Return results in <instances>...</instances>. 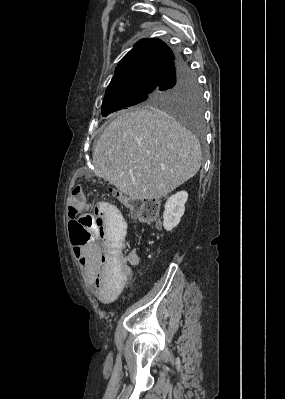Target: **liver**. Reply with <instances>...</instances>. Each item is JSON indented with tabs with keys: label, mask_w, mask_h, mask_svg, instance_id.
<instances>
[{
	"label": "liver",
	"mask_w": 285,
	"mask_h": 399,
	"mask_svg": "<svg viewBox=\"0 0 285 399\" xmlns=\"http://www.w3.org/2000/svg\"><path fill=\"white\" fill-rule=\"evenodd\" d=\"M199 141L166 113L122 111L93 151L94 173L132 200L160 199L200 169Z\"/></svg>",
	"instance_id": "liver-1"
}]
</instances>
